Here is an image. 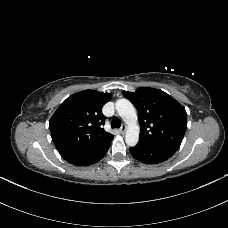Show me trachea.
<instances>
[{
    "instance_id": "obj_1",
    "label": "trachea",
    "mask_w": 228,
    "mask_h": 228,
    "mask_svg": "<svg viewBox=\"0 0 228 228\" xmlns=\"http://www.w3.org/2000/svg\"><path fill=\"white\" fill-rule=\"evenodd\" d=\"M121 126V121L118 117H114L111 121V127L112 128H120Z\"/></svg>"
}]
</instances>
